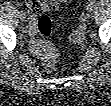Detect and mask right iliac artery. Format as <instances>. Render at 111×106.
I'll return each instance as SVG.
<instances>
[{
  "label": "right iliac artery",
  "mask_w": 111,
  "mask_h": 106,
  "mask_svg": "<svg viewBox=\"0 0 111 106\" xmlns=\"http://www.w3.org/2000/svg\"><path fill=\"white\" fill-rule=\"evenodd\" d=\"M17 7H18V10H19V13H25L23 8L21 6H19V4H17Z\"/></svg>",
  "instance_id": "obj_1"
}]
</instances>
